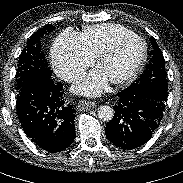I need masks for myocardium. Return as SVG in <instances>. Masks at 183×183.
Instances as JSON below:
<instances>
[{
  "instance_id": "obj_1",
  "label": "myocardium",
  "mask_w": 183,
  "mask_h": 183,
  "mask_svg": "<svg viewBox=\"0 0 183 183\" xmlns=\"http://www.w3.org/2000/svg\"><path fill=\"white\" fill-rule=\"evenodd\" d=\"M132 40H136V41H139L141 43L142 53H141L140 58L137 61L136 65L134 66V68L128 74L124 75L123 77H120V78H117V79L111 81V83L115 86L126 85V84L132 82L133 80H135L136 77L139 75V73L141 72V70H142V68L145 64L146 58H147V45H146V42L141 37H139L137 35L122 37V38L116 40L113 44H111L108 48L103 50L96 57V65L99 66L102 61H104L105 59H107L110 56H112L113 54H115L116 51L124 43H126L128 41H132Z\"/></svg>"
}]
</instances>
